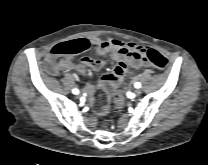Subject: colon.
Listing matches in <instances>:
<instances>
[{"instance_id":"5ec220e1","label":"colon","mask_w":208,"mask_h":165,"mask_svg":"<svg viewBox=\"0 0 208 165\" xmlns=\"http://www.w3.org/2000/svg\"><path fill=\"white\" fill-rule=\"evenodd\" d=\"M89 43L84 39H76L55 45L45 59V69L50 75H56L60 69L61 62L68 57L81 54L89 49ZM144 60L158 69H164L168 60L159 51L152 48H144L141 52ZM115 111L122 110V97L119 93L114 94Z\"/></svg>"}]
</instances>
